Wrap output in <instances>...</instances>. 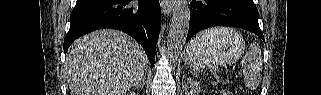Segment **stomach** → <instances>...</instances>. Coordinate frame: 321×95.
Returning <instances> with one entry per match:
<instances>
[{
  "instance_id": "1",
  "label": "stomach",
  "mask_w": 321,
  "mask_h": 95,
  "mask_svg": "<svg viewBox=\"0 0 321 95\" xmlns=\"http://www.w3.org/2000/svg\"><path fill=\"white\" fill-rule=\"evenodd\" d=\"M244 49V40L233 30L216 41L196 36L188 45L186 59L189 63L202 68L216 67L237 60Z\"/></svg>"
}]
</instances>
